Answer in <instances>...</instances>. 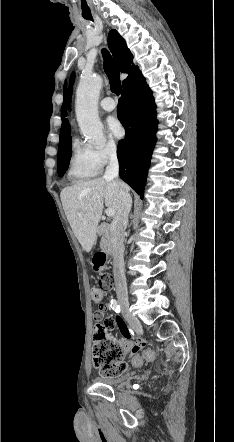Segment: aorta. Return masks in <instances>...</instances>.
<instances>
[{
    "instance_id": "obj_1",
    "label": "aorta",
    "mask_w": 234,
    "mask_h": 442,
    "mask_svg": "<svg viewBox=\"0 0 234 442\" xmlns=\"http://www.w3.org/2000/svg\"><path fill=\"white\" fill-rule=\"evenodd\" d=\"M102 88V78L86 75L80 80L76 92V116L85 138L94 144L105 141L103 126L98 115V100Z\"/></svg>"
}]
</instances>
